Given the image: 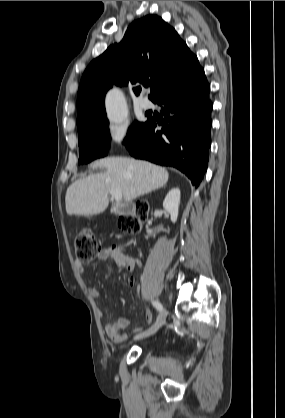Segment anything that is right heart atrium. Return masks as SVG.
I'll return each mask as SVG.
<instances>
[{"label": "right heart atrium", "instance_id": "d8ad5b80", "mask_svg": "<svg viewBox=\"0 0 285 418\" xmlns=\"http://www.w3.org/2000/svg\"><path fill=\"white\" fill-rule=\"evenodd\" d=\"M130 131L121 125H110L105 133V140L111 149L125 147L130 142Z\"/></svg>", "mask_w": 285, "mask_h": 418}]
</instances>
